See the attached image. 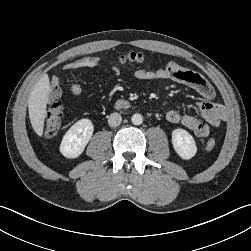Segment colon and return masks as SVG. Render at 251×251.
Returning a JSON list of instances; mask_svg holds the SVG:
<instances>
[{"instance_id": "colon-1", "label": "colon", "mask_w": 251, "mask_h": 251, "mask_svg": "<svg viewBox=\"0 0 251 251\" xmlns=\"http://www.w3.org/2000/svg\"><path fill=\"white\" fill-rule=\"evenodd\" d=\"M122 62H143L144 56L140 52H131L121 57ZM64 116L63 105L60 101H55L49 109L43 127V135L45 138L54 137L62 124ZM216 142L214 139H209L205 143L206 150L214 149Z\"/></svg>"}]
</instances>
